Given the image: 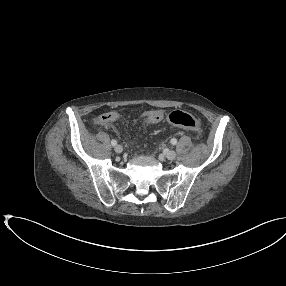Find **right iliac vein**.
Returning <instances> with one entry per match:
<instances>
[{
  "mask_svg": "<svg viewBox=\"0 0 286 286\" xmlns=\"http://www.w3.org/2000/svg\"><path fill=\"white\" fill-rule=\"evenodd\" d=\"M115 151H116L117 153H122L123 147H122L121 145H116V146H115Z\"/></svg>",
  "mask_w": 286,
  "mask_h": 286,
  "instance_id": "obj_1",
  "label": "right iliac vein"
}]
</instances>
